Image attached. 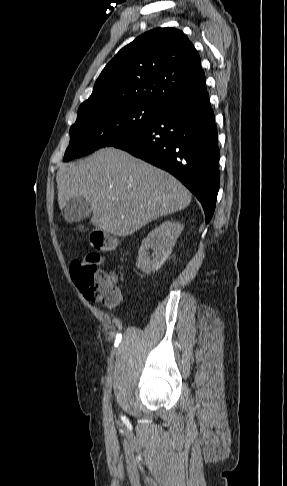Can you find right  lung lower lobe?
<instances>
[{
  "mask_svg": "<svg viewBox=\"0 0 287 486\" xmlns=\"http://www.w3.org/2000/svg\"><path fill=\"white\" fill-rule=\"evenodd\" d=\"M114 147L174 175L201 202L209 223L219 190L220 152L206 88L165 106L144 131Z\"/></svg>",
  "mask_w": 287,
  "mask_h": 486,
  "instance_id": "obj_1",
  "label": "right lung lower lobe"
}]
</instances>
